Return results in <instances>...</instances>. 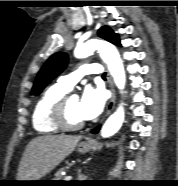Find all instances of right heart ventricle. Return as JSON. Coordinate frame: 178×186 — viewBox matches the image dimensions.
<instances>
[{
    "label": "right heart ventricle",
    "instance_id": "1",
    "mask_svg": "<svg viewBox=\"0 0 178 186\" xmlns=\"http://www.w3.org/2000/svg\"><path fill=\"white\" fill-rule=\"evenodd\" d=\"M67 92L56 84L49 87L36 101L32 113V125L38 133L53 134L59 131L50 119V112L53 104Z\"/></svg>",
    "mask_w": 178,
    "mask_h": 186
}]
</instances>
